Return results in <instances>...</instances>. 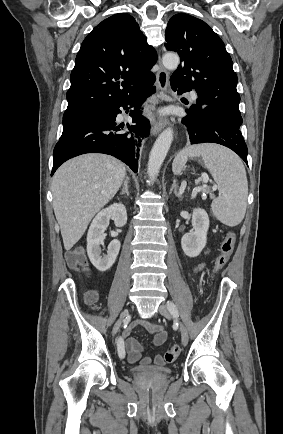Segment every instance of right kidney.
Segmentation results:
<instances>
[{
  "label": "right kidney",
  "mask_w": 283,
  "mask_h": 434,
  "mask_svg": "<svg viewBox=\"0 0 283 434\" xmlns=\"http://www.w3.org/2000/svg\"><path fill=\"white\" fill-rule=\"evenodd\" d=\"M114 220L116 227H123L127 222L126 208L116 203L100 211L93 219L87 234V253L91 263L101 272H105L114 264L120 250V242L113 240L107 248V254L101 255L100 245L104 244L105 230L109 220Z\"/></svg>",
  "instance_id": "ca27d5eb"
}]
</instances>
